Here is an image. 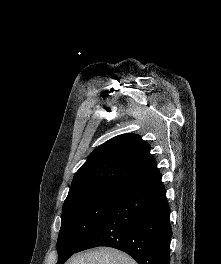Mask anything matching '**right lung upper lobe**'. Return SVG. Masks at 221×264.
<instances>
[{"label":"right lung upper lobe","instance_id":"obj_1","mask_svg":"<svg viewBox=\"0 0 221 264\" xmlns=\"http://www.w3.org/2000/svg\"><path fill=\"white\" fill-rule=\"evenodd\" d=\"M157 171L150 146L139 135L114 137L90 155L76 172L68 196L102 185L127 186Z\"/></svg>","mask_w":221,"mask_h":264}]
</instances>
